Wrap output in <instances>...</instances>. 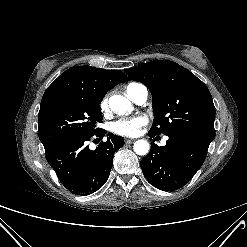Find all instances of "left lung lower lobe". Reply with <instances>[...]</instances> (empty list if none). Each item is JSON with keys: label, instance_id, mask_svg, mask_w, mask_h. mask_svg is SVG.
<instances>
[{"label": "left lung lower lobe", "instance_id": "1", "mask_svg": "<svg viewBox=\"0 0 247 247\" xmlns=\"http://www.w3.org/2000/svg\"><path fill=\"white\" fill-rule=\"evenodd\" d=\"M167 136L165 146H151V151L141 161V168L154 187L174 191L186 185L202 166L211 141L182 131Z\"/></svg>", "mask_w": 247, "mask_h": 247}]
</instances>
